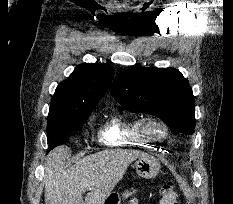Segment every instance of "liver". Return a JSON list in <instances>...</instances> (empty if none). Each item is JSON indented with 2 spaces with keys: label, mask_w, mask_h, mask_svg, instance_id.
Masks as SVG:
<instances>
[{
  "label": "liver",
  "mask_w": 233,
  "mask_h": 204,
  "mask_svg": "<svg viewBox=\"0 0 233 204\" xmlns=\"http://www.w3.org/2000/svg\"><path fill=\"white\" fill-rule=\"evenodd\" d=\"M67 146L52 150L45 161V204H104L128 166L146 154L137 150H105L79 159L69 168ZM90 190L83 200V193Z\"/></svg>",
  "instance_id": "1"
}]
</instances>
